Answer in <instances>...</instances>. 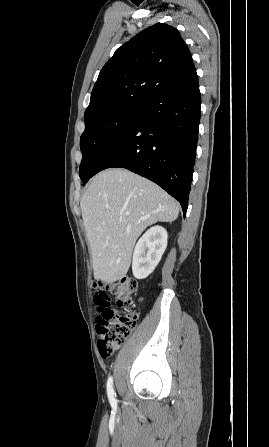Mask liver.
<instances>
[{"instance_id": "6515ba94", "label": "liver", "mask_w": 269, "mask_h": 447, "mask_svg": "<svg viewBox=\"0 0 269 447\" xmlns=\"http://www.w3.org/2000/svg\"><path fill=\"white\" fill-rule=\"evenodd\" d=\"M95 279L126 275L140 233L156 222H174L179 208L162 188L123 168L97 174L80 200Z\"/></svg>"}]
</instances>
